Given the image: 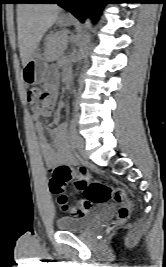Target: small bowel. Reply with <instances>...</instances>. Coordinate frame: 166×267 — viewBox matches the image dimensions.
I'll list each match as a JSON object with an SVG mask.
<instances>
[{
    "instance_id": "obj_1",
    "label": "small bowel",
    "mask_w": 166,
    "mask_h": 267,
    "mask_svg": "<svg viewBox=\"0 0 166 267\" xmlns=\"http://www.w3.org/2000/svg\"><path fill=\"white\" fill-rule=\"evenodd\" d=\"M48 88L51 90V93H55L56 87L54 84H49ZM51 113V109H48L33 114L42 158L49 169H54L57 166L71 167L75 163V158L70 149L67 126L62 124L48 130L53 144L49 143L44 136L43 118L50 116Z\"/></svg>"
}]
</instances>
